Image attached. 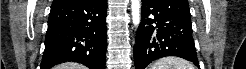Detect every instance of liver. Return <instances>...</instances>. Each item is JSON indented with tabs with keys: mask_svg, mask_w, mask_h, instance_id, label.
<instances>
[{
	"mask_svg": "<svg viewBox=\"0 0 246 69\" xmlns=\"http://www.w3.org/2000/svg\"><path fill=\"white\" fill-rule=\"evenodd\" d=\"M56 69H84L82 65L77 63H64L57 66Z\"/></svg>",
	"mask_w": 246,
	"mask_h": 69,
	"instance_id": "1",
	"label": "liver"
}]
</instances>
